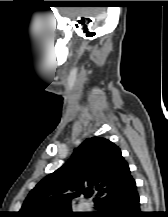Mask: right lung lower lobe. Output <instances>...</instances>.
<instances>
[{
    "instance_id": "right-lung-lower-lobe-1",
    "label": "right lung lower lobe",
    "mask_w": 168,
    "mask_h": 217,
    "mask_svg": "<svg viewBox=\"0 0 168 217\" xmlns=\"http://www.w3.org/2000/svg\"><path fill=\"white\" fill-rule=\"evenodd\" d=\"M139 202L140 198L135 188L129 194L105 204L93 217H144Z\"/></svg>"
}]
</instances>
